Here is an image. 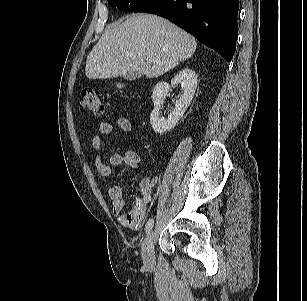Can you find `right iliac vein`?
<instances>
[{
    "label": "right iliac vein",
    "instance_id": "obj_1",
    "mask_svg": "<svg viewBox=\"0 0 307 301\" xmlns=\"http://www.w3.org/2000/svg\"><path fill=\"white\" fill-rule=\"evenodd\" d=\"M154 232L150 231L142 245V258L143 262L147 267H151L155 264V257H154Z\"/></svg>",
    "mask_w": 307,
    "mask_h": 301
}]
</instances>
